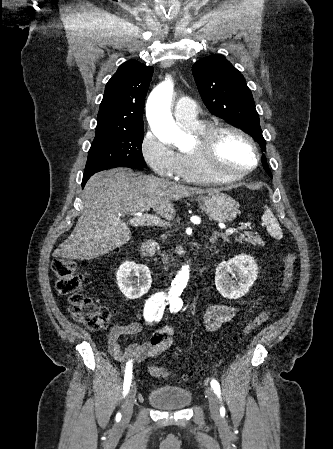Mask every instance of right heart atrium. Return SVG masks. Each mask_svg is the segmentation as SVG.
<instances>
[{"label":"right heart atrium","mask_w":333,"mask_h":449,"mask_svg":"<svg viewBox=\"0 0 333 449\" xmlns=\"http://www.w3.org/2000/svg\"><path fill=\"white\" fill-rule=\"evenodd\" d=\"M142 157L159 176L176 178L179 168L178 153L153 132L147 131L140 145Z\"/></svg>","instance_id":"d8ad5b80"}]
</instances>
